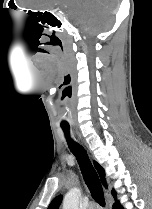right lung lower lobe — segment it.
<instances>
[{"label": "right lung lower lobe", "instance_id": "obj_1", "mask_svg": "<svg viewBox=\"0 0 152 209\" xmlns=\"http://www.w3.org/2000/svg\"><path fill=\"white\" fill-rule=\"evenodd\" d=\"M112 195L114 198H116V192H112ZM113 209H123V207L120 205V203L117 201L116 203L113 204Z\"/></svg>", "mask_w": 152, "mask_h": 209}]
</instances>
